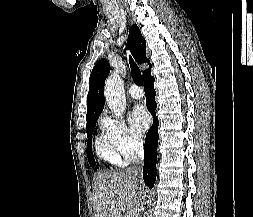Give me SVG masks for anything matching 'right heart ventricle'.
<instances>
[{"label": "right heart ventricle", "instance_id": "obj_1", "mask_svg": "<svg viewBox=\"0 0 253 217\" xmlns=\"http://www.w3.org/2000/svg\"><path fill=\"white\" fill-rule=\"evenodd\" d=\"M95 149L97 155L112 165L122 167L126 160L119 154L110 139L104 134H99L95 139Z\"/></svg>", "mask_w": 253, "mask_h": 217}]
</instances>
